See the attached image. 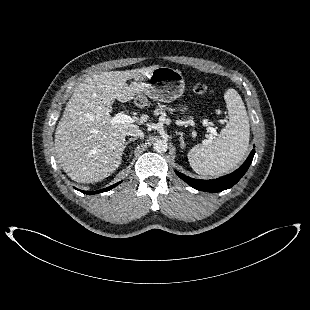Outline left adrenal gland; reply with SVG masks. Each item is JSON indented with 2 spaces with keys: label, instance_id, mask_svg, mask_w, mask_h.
<instances>
[{
  "label": "left adrenal gland",
  "instance_id": "obj_1",
  "mask_svg": "<svg viewBox=\"0 0 310 310\" xmlns=\"http://www.w3.org/2000/svg\"><path fill=\"white\" fill-rule=\"evenodd\" d=\"M176 134H179L180 135V139H179V141H180V147L183 149V148H185V143H184V139H183V133H181V132H176Z\"/></svg>",
  "mask_w": 310,
  "mask_h": 310
}]
</instances>
